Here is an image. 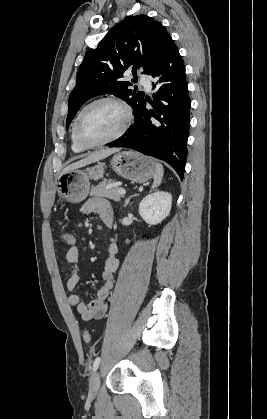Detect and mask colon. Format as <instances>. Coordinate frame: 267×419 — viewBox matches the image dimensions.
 <instances>
[{
  "label": "colon",
  "instance_id": "obj_1",
  "mask_svg": "<svg viewBox=\"0 0 267 419\" xmlns=\"http://www.w3.org/2000/svg\"><path fill=\"white\" fill-rule=\"evenodd\" d=\"M62 242L66 245L73 246L76 243V237L75 234L73 232L70 231H66L62 234ZM83 340L88 343L91 340V334L89 331L85 330L83 332Z\"/></svg>",
  "mask_w": 267,
  "mask_h": 419
}]
</instances>
